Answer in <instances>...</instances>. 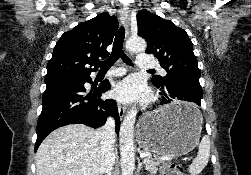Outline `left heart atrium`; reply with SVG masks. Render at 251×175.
Masks as SVG:
<instances>
[{
  "instance_id": "obj_1",
  "label": "left heart atrium",
  "mask_w": 251,
  "mask_h": 175,
  "mask_svg": "<svg viewBox=\"0 0 251 175\" xmlns=\"http://www.w3.org/2000/svg\"><path fill=\"white\" fill-rule=\"evenodd\" d=\"M112 92L115 98L123 102L147 101L151 98L144 83L135 77H128L118 82Z\"/></svg>"
}]
</instances>
